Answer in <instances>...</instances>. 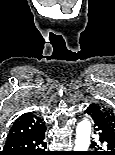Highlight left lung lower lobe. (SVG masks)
<instances>
[{
  "label": "left lung lower lobe",
  "instance_id": "1",
  "mask_svg": "<svg viewBox=\"0 0 115 155\" xmlns=\"http://www.w3.org/2000/svg\"><path fill=\"white\" fill-rule=\"evenodd\" d=\"M85 112L94 123V129L97 132L100 143L104 144L108 150L100 155H115V139L101 107L96 104H91ZM94 144L96 143H93V145ZM85 155L95 154H92V152H87Z\"/></svg>",
  "mask_w": 115,
  "mask_h": 155
}]
</instances>
